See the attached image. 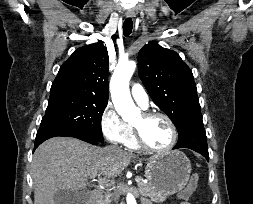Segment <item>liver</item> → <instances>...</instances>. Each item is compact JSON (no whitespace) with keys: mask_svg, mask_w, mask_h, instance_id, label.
Instances as JSON below:
<instances>
[{"mask_svg":"<svg viewBox=\"0 0 253 204\" xmlns=\"http://www.w3.org/2000/svg\"><path fill=\"white\" fill-rule=\"evenodd\" d=\"M136 156L110 147L100 148L70 137L42 143L32 162L34 204H54L59 190L78 191L94 174L115 178Z\"/></svg>","mask_w":253,"mask_h":204,"instance_id":"liver-1","label":"liver"}]
</instances>
